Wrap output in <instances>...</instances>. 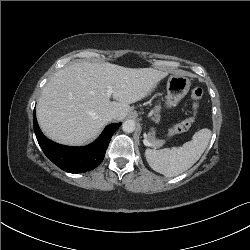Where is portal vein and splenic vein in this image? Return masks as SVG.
<instances>
[{
	"mask_svg": "<svg viewBox=\"0 0 250 250\" xmlns=\"http://www.w3.org/2000/svg\"><path fill=\"white\" fill-rule=\"evenodd\" d=\"M113 89H112V86H108V88H107V93H106V95H107V97H110L112 94H113Z\"/></svg>",
	"mask_w": 250,
	"mask_h": 250,
	"instance_id": "18ae733b",
	"label": "portal vein and splenic vein"
}]
</instances>
